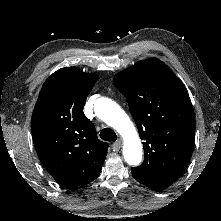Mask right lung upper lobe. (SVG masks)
Listing matches in <instances>:
<instances>
[{"label":"right lung upper lobe","mask_w":221,"mask_h":221,"mask_svg":"<svg viewBox=\"0 0 221 221\" xmlns=\"http://www.w3.org/2000/svg\"><path fill=\"white\" fill-rule=\"evenodd\" d=\"M95 74L76 67L54 72L44 83L35 105L31 129L35 149L48 172L62 185L76 187L96 179L108 143L98 139L83 107Z\"/></svg>","instance_id":"cb5924a9"}]
</instances>
